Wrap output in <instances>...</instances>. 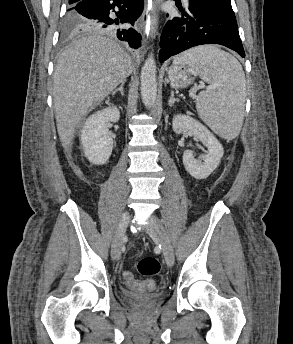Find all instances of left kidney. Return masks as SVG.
I'll list each match as a JSON object with an SVG mask.
<instances>
[{
    "label": "left kidney",
    "mask_w": 293,
    "mask_h": 344,
    "mask_svg": "<svg viewBox=\"0 0 293 344\" xmlns=\"http://www.w3.org/2000/svg\"><path fill=\"white\" fill-rule=\"evenodd\" d=\"M172 128L176 134L192 132L208 149L203 156V162L194 158L192 151L183 153V164L186 171L196 179H206L219 165L224 154V148L217 138L199 121L188 115H175Z\"/></svg>",
    "instance_id": "left-kidney-1"
}]
</instances>
